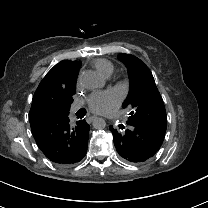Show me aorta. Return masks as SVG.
<instances>
[{"label":"aorta","instance_id":"aorta-1","mask_svg":"<svg viewBox=\"0 0 208 208\" xmlns=\"http://www.w3.org/2000/svg\"><path fill=\"white\" fill-rule=\"evenodd\" d=\"M92 125L95 129H103L106 126V122L103 118L101 117H94Z\"/></svg>","mask_w":208,"mask_h":208}]
</instances>
